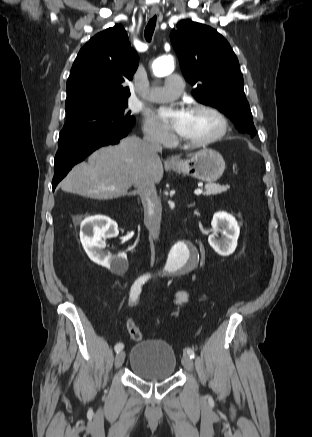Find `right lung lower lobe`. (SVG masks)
I'll return each instance as SVG.
<instances>
[{
	"label": "right lung lower lobe",
	"mask_w": 312,
	"mask_h": 437,
	"mask_svg": "<svg viewBox=\"0 0 312 437\" xmlns=\"http://www.w3.org/2000/svg\"><path fill=\"white\" fill-rule=\"evenodd\" d=\"M128 132L129 129L96 136L80 141L66 148H58L54 163V177L52 180L53 190L74 165L83 161L89 154L101 146L117 144L121 138L128 134Z\"/></svg>",
	"instance_id": "obj_1"
}]
</instances>
